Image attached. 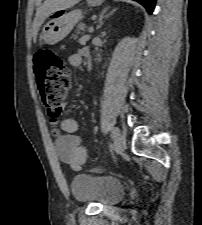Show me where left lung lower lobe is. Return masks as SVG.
<instances>
[{
  "instance_id": "obj_1",
  "label": "left lung lower lobe",
  "mask_w": 202,
  "mask_h": 225,
  "mask_svg": "<svg viewBox=\"0 0 202 225\" xmlns=\"http://www.w3.org/2000/svg\"><path fill=\"white\" fill-rule=\"evenodd\" d=\"M135 1L141 3L147 9L149 14L153 12L156 0H135Z\"/></svg>"
}]
</instances>
